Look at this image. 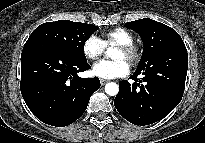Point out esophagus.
<instances>
[{
  "instance_id": "esophagus-1",
  "label": "esophagus",
  "mask_w": 205,
  "mask_h": 143,
  "mask_svg": "<svg viewBox=\"0 0 205 143\" xmlns=\"http://www.w3.org/2000/svg\"><path fill=\"white\" fill-rule=\"evenodd\" d=\"M107 82H108V81L105 80V79H100V83H101V85H105Z\"/></svg>"
}]
</instances>
